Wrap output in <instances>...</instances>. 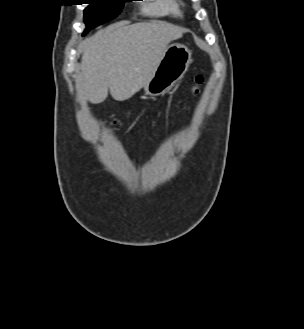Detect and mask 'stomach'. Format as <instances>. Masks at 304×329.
<instances>
[{"label":"stomach","mask_w":304,"mask_h":329,"mask_svg":"<svg viewBox=\"0 0 304 329\" xmlns=\"http://www.w3.org/2000/svg\"><path fill=\"white\" fill-rule=\"evenodd\" d=\"M191 55V50L185 45H169L150 81L143 87L145 95L156 97L172 88L188 70Z\"/></svg>","instance_id":"stomach-1"}]
</instances>
